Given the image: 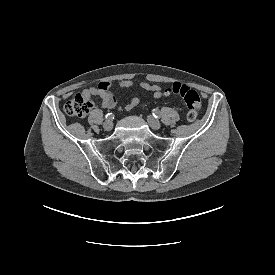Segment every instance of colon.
<instances>
[{
  "label": "colon",
  "instance_id": "colon-1",
  "mask_svg": "<svg viewBox=\"0 0 275 275\" xmlns=\"http://www.w3.org/2000/svg\"><path fill=\"white\" fill-rule=\"evenodd\" d=\"M165 95H177L181 97L186 105V118L194 121L201 110V99L199 94L186 84L175 82L164 90ZM92 97L78 94L73 96L64 104V112L74 118H83L92 107Z\"/></svg>",
  "mask_w": 275,
  "mask_h": 275
}]
</instances>
